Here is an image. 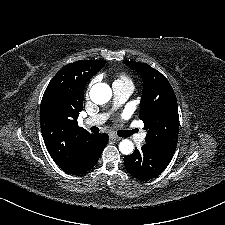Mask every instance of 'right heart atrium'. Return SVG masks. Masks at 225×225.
I'll return each mask as SVG.
<instances>
[{"label":"right heart atrium","mask_w":225,"mask_h":225,"mask_svg":"<svg viewBox=\"0 0 225 225\" xmlns=\"http://www.w3.org/2000/svg\"><path fill=\"white\" fill-rule=\"evenodd\" d=\"M93 83H94V80L90 83V85H89V86H91Z\"/></svg>","instance_id":"1"}]
</instances>
